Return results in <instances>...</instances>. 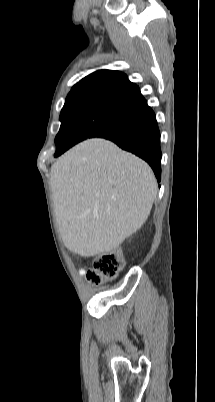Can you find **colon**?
<instances>
[{"label":"colon","instance_id":"obj_1","mask_svg":"<svg viewBox=\"0 0 215 402\" xmlns=\"http://www.w3.org/2000/svg\"><path fill=\"white\" fill-rule=\"evenodd\" d=\"M88 279L94 284L112 280L117 277L123 267V259L119 253L99 254L91 258Z\"/></svg>","mask_w":215,"mask_h":402}]
</instances>
